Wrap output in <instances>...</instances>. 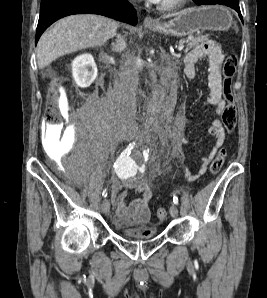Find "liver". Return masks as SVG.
<instances>
[{"mask_svg": "<svg viewBox=\"0 0 267 298\" xmlns=\"http://www.w3.org/2000/svg\"><path fill=\"white\" fill-rule=\"evenodd\" d=\"M172 15L165 16V18ZM118 23L99 15H71L45 31L37 44V61L44 69L57 58L104 45L116 35Z\"/></svg>", "mask_w": 267, "mask_h": 298, "instance_id": "obj_1", "label": "liver"}]
</instances>
